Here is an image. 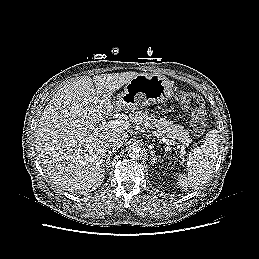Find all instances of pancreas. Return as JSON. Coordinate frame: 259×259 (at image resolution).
Listing matches in <instances>:
<instances>
[{
  "instance_id": "pancreas-1",
  "label": "pancreas",
  "mask_w": 259,
  "mask_h": 259,
  "mask_svg": "<svg viewBox=\"0 0 259 259\" xmlns=\"http://www.w3.org/2000/svg\"><path fill=\"white\" fill-rule=\"evenodd\" d=\"M129 117L133 123L143 124L146 128L155 130L158 137L176 139L186 145L192 141L183 126L176 125L166 118H156L154 114L147 111H137L130 114Z\"/></svg>"
}]
</instances>
